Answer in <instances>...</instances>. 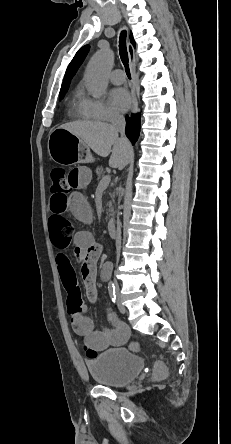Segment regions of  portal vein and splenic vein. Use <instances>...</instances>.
I'll return each mask as SVG.
<instances>
[{"mask_svg": "<svg viewBox=\"0 0 231 444\" xmlns=\"http://www.w3.org/2000/svg\"><path fill=\"white\" fill-rule=\"evenodd\" d=\"M110 181H111V176L110 175H104L102 177V179L100 180V182H99V186L100 187H107L109 185Z\"/></svg>", "mask_w": 231, "mask_h": 444, "instance_id": "1", "label": "portal vein and splenic vein"}]
</instances>
